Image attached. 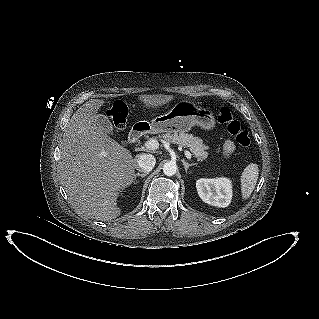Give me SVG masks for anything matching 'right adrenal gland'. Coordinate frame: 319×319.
<instances>
[{"label":"right adrenal gland","mask_w":319,"mask_h":319,"mask_svg":"<svg viewBox=\"0 0 319 319\" xmlns=\"http://www.w3.org/2000/svg\"><path fill=\"white\" fill-rule=\"evenodd\" d=\"M146 175H147V173H136V174L134 175V180H133V182L136 181V178H137V177L140 176L141 178H144Z\"/></svg>","instance_id":"2a0ac1e0"}]
</instances>
